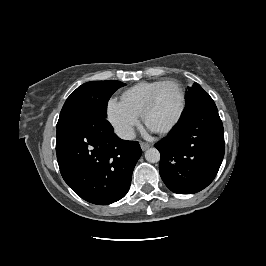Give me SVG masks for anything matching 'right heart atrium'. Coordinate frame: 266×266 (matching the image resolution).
I'll return each mask as SVG.
<instances>
[{
    "mask_svg": "<svg viewBox=\"0 0 266 266\" xmlns=\"http://www.w3.org/2000/svg\"><path fill=\"white\" fill-rule=\"evenodd\" d=\"M106 117L116 133L129 139L139 123V115L128 108L122 101L110 98L106 103Z\"/></svg>",
    "mask_w": 266,
    "mask_h": 266,
    "instance_id": "obj_1",
    "label": "right heart atrium"
}]
</instances>
